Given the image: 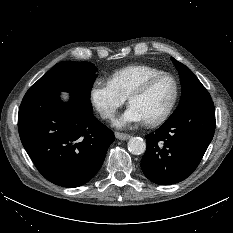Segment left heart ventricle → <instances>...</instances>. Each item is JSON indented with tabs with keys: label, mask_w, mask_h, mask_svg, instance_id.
Returning <instances> with one entry per match:
<instances>
[{
	"label": "left heart ventricle",
	"mask_w": 233,
	"mask_h": 233,
	"mask_svg": "<svg viewBox=\"0 0 233 233\" xmlns=\"http://www.w3.org/2000/svg\"><path fill=\"white\" fill-rule=\"evenodd\" d=\"M173 94V82L169 78H162L155 82L145 94L134 98L130 105L142 114L145 121L152 120L164 113Z\"/></svg>",
	"instance_id": "1"
}]
</instances>
